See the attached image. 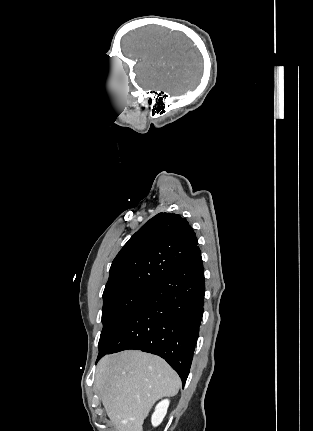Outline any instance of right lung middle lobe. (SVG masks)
Masks as SVG:
<instances>
[{"label":"right lung middle lobe","mask_w":313,"mask_h":431,"mask_svg":"<svg viewBox=\"0 0 313 431\" xmlns=\"http://www.w3.org/2000/svg\"><path fill=\"white\" fill-rule=\"evenodd\" d=\"M153 289L127 290L103 296V330L98 344L99 349Z\"/></svg>","instance_id":"right-lung-middle-lobe-1"}]
</instances>
